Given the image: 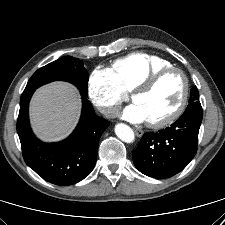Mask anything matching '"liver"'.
I'll list each match as a JSON object with an SVG mask.
<instances>
[{
    "instance_id": "liver-1",
    "label": "liver",
    "mask_w": 225,
    "mask_h": 225,
    "mask_svg": "<svg viewBox=\"0 0 225 225\" xmlns=\"http://www.w3.org/2000/svg\"><path fill=\"white\" fill-rule=\"evenodd\" d=\"M80 111L75 86L61 81L46 84L36 90L30 102L32 129L43 141H59L75 128Z\"/></svg>"
}]
</instances>
